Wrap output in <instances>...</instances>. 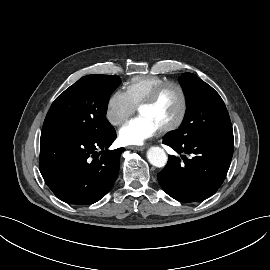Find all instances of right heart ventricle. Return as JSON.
<instances>
[{
	"instance_id": "right-heart-ventricle-1",
	"label": "right heart ventricle",
	"mask_w": 270,
	"mask_h": 270,
	"mask_svg": "<svg viewBox=\"0 0 270 270\" xmlns=\"http://www.w3.org/2000/svg\"><path fill=\"white\" fill-rule=\"evenodd\" d=\"M165 81L166 78L156 75L135 76L126 82L125 91L132 103L138 107L156 86Z\"/></svg>"
}]
</instances>
